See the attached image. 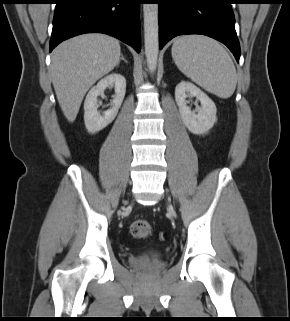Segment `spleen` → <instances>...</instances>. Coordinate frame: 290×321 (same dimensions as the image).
I'll return each instance as SVG.
<instances>
[{
  "instance_id": "spleen-1",
  "label": "spleen",
  "mask_w": 290,
  "mask_h": 321,
  "mask_svg": "<svg viewBox=\"0 0 290 321\" xmlns=\"http://www.w3.org/2000/svg\"><path fill=\"white\" fill-rule=\"evenodd\" d=\"M172 57L179 70L206 91L221 98L233 94L236 69L217 41L201 35L180 37L173 43Z\"/></svg>"
}]
</instances>
